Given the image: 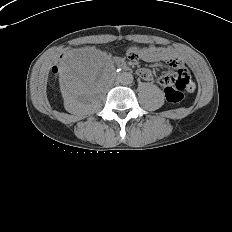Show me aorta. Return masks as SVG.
I'll return each instance as SVG.
<instances>
[{
	"instance_id": "aorta-1",
	"label": "aorta",
	"mask_w": 232,
	"mask_h": 232,
	"mask_svg": "<svg viewBox=\"0 0 232 232\" xmlns=\"http://www.w3.org/2000/svg\"><path fill=\"white\" fill-rule=\"evenodd\" d=\"M123 80L126 81V82H128L130 80L129 75H126L125 77H123Z\"/></svg>"
}]
</instances>
